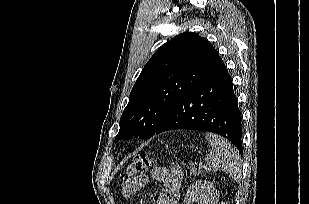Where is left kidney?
I'll return each mask as SVG.
<instances>
[{
	"mask_svg": "<svg viewBox=\"0 0 309 204\" xmlns=\"http://www.w3.org/2000/svg\"><path fill=\"white\" fill-rule=\"evenodd\" d=\"M219 192L211 182L196 181L188 189L183 204H218Z\"/></svg>",
	"mask_w": 309,
	"mask_h": 204,
	"instance_id": "obj_1",
	"label": "left kidney"
}]
</instances>
